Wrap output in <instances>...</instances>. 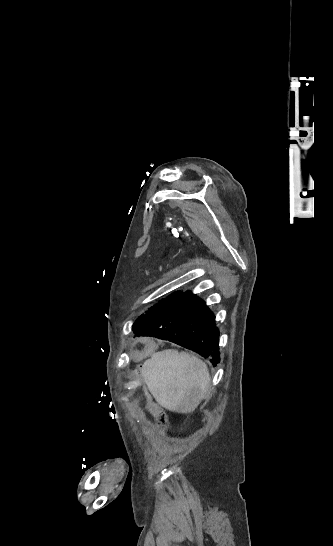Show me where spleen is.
<instances>
[{
    "label": "spleen",
    "instance_id": "3e777b00",
    "mask_svg": "<svg viewBox=\"0 0 333 546\" xmlns=\"http://www.w3.org/2000/svg\"><path fill=\"white\" fill-rule=\"evenodd\" d=\"M141 373L155 400L173 412L195 410L210 388L206 364L186 352L169 349L153 353Z\"/></svg>",
    "mask_w": 333,
    "mask_h": 546
}]
</instances>
